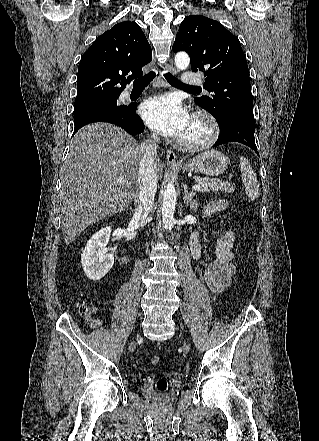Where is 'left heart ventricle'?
<instances>
[{"mask_svg": "<svg viewBox=\"0 0 319 441\" xmlns=\"http://www.w3.org/2000/svg\"><path fill=\"white\" fill-rule=\"evenodd\" d=\"M204 135V128L200 124H196L194 122H191L190 126L188 127L187 131L185 132L184 136L182 138L194 140L201 138Z\"/></svg>", "mask_w": 319, "mask_h": 441, "instance_id": "1", "label": "left heart ventricle"}]
</instances>
